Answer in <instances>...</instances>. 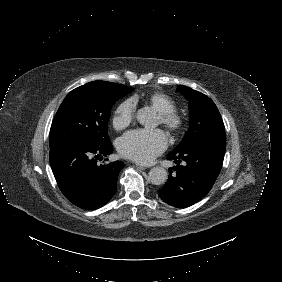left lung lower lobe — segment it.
I'll use <instances>...</instances> for the list:
<instances>
[{
    "instance_id": "1",
    "label": "left lung lower lobe",
    "mask_w": 282,
    "mask_h": 282,
    "mask_svg": "<svg viewBox=\"0 0 282 282\" xmlns=\"http://www.w3.org/2000/svg\"><path fill=\"white\" fill-rule=\"evenodd\" d=\"M225 148L226 134H220L196 139L184 149L170 152L168 159L175 160L178 165L169 169V178L158 191L160 198L177 208L200 201L220 173ZM179 159L184 161L182 165ZM173 171L176 172L172 174Z\"/></svg>"
}]
</instances>
